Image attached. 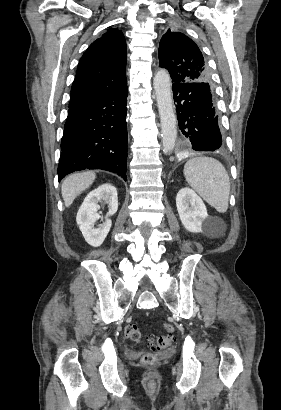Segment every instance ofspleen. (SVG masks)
<instances>
[{
	"label": "spleen",
	"instance_id": "spleen-1",
	"mask_svg": "<svg viewBox=\"0 0 281 410\" xmlns=\"http://www.w3.org/2000/svg\"><path fill=\"white\" fill-rule=\"evenodd\" d=\"M188 184L216 211L228 209L230 180L224 166L211 157H195L184 166Z\"/></svg>",
	"mask_w": 281,
	"mask_h": 410
}]
</instances>
